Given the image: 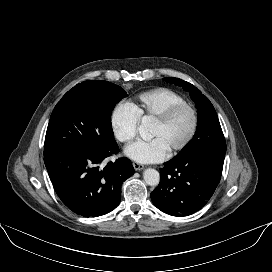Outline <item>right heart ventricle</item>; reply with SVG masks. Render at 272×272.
Returning a JSON list of instances; mask_svg holds the SVG:
<instances>
[{
	"instance_id": "right-heart-ventricle-1",
	"label": "right heart ventricle",
	"mask_w": 272,
	"mask_h": 272,
	"mask_svg": "<svg viewBox=\"0 0 272 272\" xmlns=\"http://www.w3.org/2000/svg\"><path fill=\"white\" fill-rule=\"evenodd\" d=\"M185 103V99L175 91L158 87L139 94L130 105L139 120L154 119L169 107Z\"/></svg>"
}]
</instances>
